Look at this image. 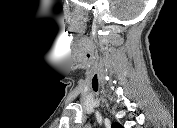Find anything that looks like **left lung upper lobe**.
I'll return each instance as SVG.
<instances>
[{"instance_id":"5c2ea615","label":"left lung upper lobe","mask_w":177,"mask_h":128,"mask_svg":"<svg viewBox=\"0 0 177 128\" xmlns=\"http://www.w3.org/2000/svg\"><path fill=\"white\" fill-rule=\"evenodd\" d=\"M112 128H122V126L120 124H118V123H114L112 125Z\"/></svg>"}]
</instances>
